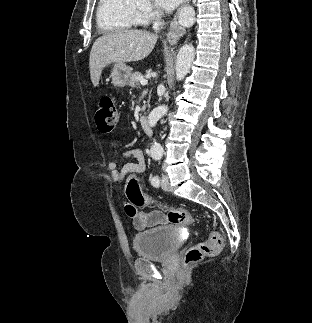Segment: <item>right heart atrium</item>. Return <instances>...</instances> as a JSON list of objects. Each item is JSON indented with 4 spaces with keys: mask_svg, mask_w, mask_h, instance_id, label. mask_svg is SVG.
I'll return each mask as SVG.
<instances>
[{
    "mask_svg": "<svg viewBox=\"0 0 312 323\" xmlns=\"http://www.w3.org/2000/svg\"><path fill=\"white\" fill-rule=\"evenodd\" d=\"M152 17H163V10H152Z\"/></svg>",
    "mask_w": 312,
    "mask_h": 323,
    "instance_id": "d8ad5b80",
    "label": "right heart atrium"
}]
</instances>
